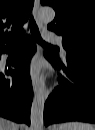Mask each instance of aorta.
<instances>
[{
  "instance_id": "1",
  "label": "aorta",
  "mask_w": 95,
  "mask_h": 130,
  "mask_svg": "<svg viewBox=\"0 0 95 130\" xmlns=\"http://www.w3.org/2000/svg\"><path fill=\"white\" fill-rule=\"evenodd\" d=\"M55 11L50 7H42L37 12V18L49 23L54 20ZM46 100V86L42 83L34 93L31 114H30V128L31 130H44V104Z\"/></svg>"
}]
</instances>
